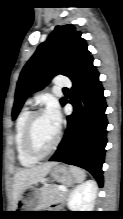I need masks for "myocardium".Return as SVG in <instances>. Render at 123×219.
Returning a JSON list of instances; mask_svg holds the SVG:
<instances>
[{"instance_id": "f54148a6", "label": "myocardium", "mask_w": 123, "mask_h": 219, "mask_svg": "<svg viewBox=\"0 0 123 219\" xmlns=\"http://www.w3.org/2000/svg\"><path fill=\"white\" fill-rule=\"evenodd\" d=\"M44 112L45 111L42 109L32 111L28 117L27 122H26L25 132H24V146H25L26 152L31 157L38 159V160L43 159V158L47 157L48 155H50L57 148L58 144L61 141V136H62V132H61V129L59 127L55 140L53 141V143L51 144V146L47 150L40 151L35 147L34 141H33L34 122H35L36 118Z\"/></svg>"}]
</instances>
